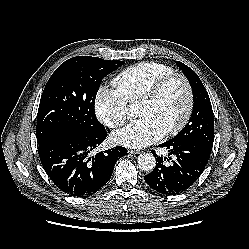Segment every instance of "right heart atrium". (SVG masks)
<instances>
[{
  "label": "right heart atrium",
  "instance_id": "d8ad5b80",
  "mask_svg": "<svg viewBox=\"0 0 249 249\" xmlns=\"http://www.w3.org/2000/svg\"><path fill=\"white\" fill-rule=\"evenodd\" d=\"M93 107L97 119L109 128H117L127 120L126 101L106 86L98 88Z\"/></svg>",
  "mask_w": 249,
  "mask_h": 249
}]
</instances>
